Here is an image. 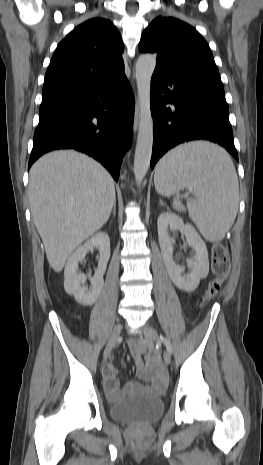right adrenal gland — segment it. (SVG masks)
Here are the masks:
<instances>
[{"instance_id":"1","label":"right adrenal gland","mask_w":263,"mask_h":465,"mask_svg":"<svg viewBox=\"0 0 263 465\" xmlns=\"http://www.w3.org/2000/svg\"><path fill=\"white\" fill-rule=\"evenodd\" d=\"M112 213H113V217H115V215H116V204H114Z\"/></svg>"}]
</instances>
